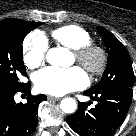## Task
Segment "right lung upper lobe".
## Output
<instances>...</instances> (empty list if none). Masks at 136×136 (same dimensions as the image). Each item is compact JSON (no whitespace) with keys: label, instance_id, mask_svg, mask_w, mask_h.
<instances>
[{"label":"right lung upper lobe","instance_id":"obj_1","mask_svg":"<svg viewBox=\"0 0 136 136\" xmlns=\"http://www.w3.org/2000/svg\"><path fill=\"white\" fill-rule=\"evenodd\" d=\"M16 21H19V19L8 18V19L0 21V26L9 25V24H12V23H14Z\"/></svg>","mask_w":136,"mask_h":136}]
</instances>
